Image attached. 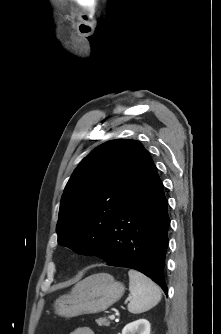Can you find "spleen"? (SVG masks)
Instances as JSON below:
<instances>
[{"instance_id":"3e777b00","label":"spleen","mask_w":221,"mask_h":334,"mask_svg":"<svg viewBox=\"0 0 221 334\" xmlns=\"http://www.w3.org/2000/svg\"><path fill=\"white\" fill-rule=\"evenodd\" d=\"M129 291L132 295L128 311L133 314L143 313L159 303L162 297L161 289L144 274L129 270Z\"/></svg>"}]
</instances>
